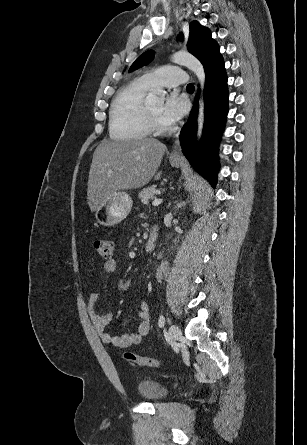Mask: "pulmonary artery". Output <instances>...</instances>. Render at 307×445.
Listing matches in <instances>:
<instances>
[{"mask_svg": "<svg viewBox=\"0 0 307 445\" xmlns=\"http://www.w3.org/2000/svg\"><path fill=\"white\" fill-rule=\"evenodd\" d=\"M147 82L154 85L176 86L178 84H189L191 78L185 69L166 66L160 69H150L144 73Z\"/></svg>", "mask_w": 307, "mask_h": 445, "instance_id": "1", "label": "pulmonary artery"}]
</instances>
